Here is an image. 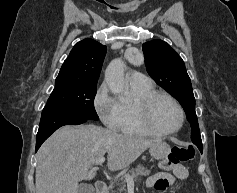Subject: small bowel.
<instances>
[{
    "instance_id": "small-bowel-1",
    "label": "small bowel",
    "mask_w": 237,
    "mask_h": 193,
    "mask_svg": "<svg viewBox=\"0 0 237 193\" xmlns=\"http://www.w3.org/2000/svg\"><path fill=\"white\" fill-rule=\"evenodd\" d=\"M188 176L189 172L187 167L180 165L172 170V173L159 172L149 177L147 180V185L153 186L159 191H165L174 179L185 180L188 178Z\"/></svg>"
}]
</instances>
